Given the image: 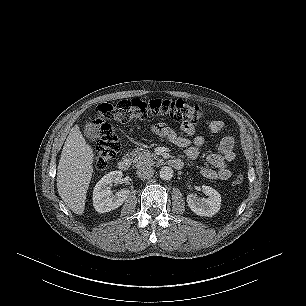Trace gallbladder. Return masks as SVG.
Instances as JSON below:
<instances>
[{
    "label": "gallbladder",
    "instance_id": "1",
    "mask_svg": "<svg viewBox=\"0 0 306 306\" xmlns=\"http://www.w3.org/2000/svg\"><path fill=\"white\" fill-rule=\"evenodd\" d=\"M84 134L90 140H95L100 137V128L97 125L88 122L85 125Z\"/></svg>",
    "mask_w": 306,
    "mask_h": 306
}]
</instances>
